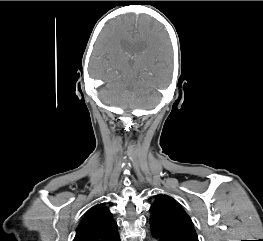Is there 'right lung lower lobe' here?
<instances>
[{
  "mask_svg": "<svg viewBox=\"0 0 263 241\" xmlns=\"http://www.w3.org/2000/svg\"><path fill=\"white\" fill-rule=\"evenodd\" d=\"M116 241H120V238L118 237V239H116Z\"/></svg>",
  "mask_w": 263,
  "mask_h": 241,
  "instance_id": "right-lung-lower-lobe-1",
  "label": "right lung lower lobe"
}]
</instances>
